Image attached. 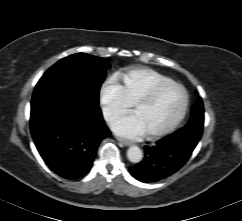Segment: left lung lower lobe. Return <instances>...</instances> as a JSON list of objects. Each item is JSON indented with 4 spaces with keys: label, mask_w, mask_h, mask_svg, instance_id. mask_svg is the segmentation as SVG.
<instances>
[{
    "label": "left lung lower lobe",
    "mask_w": 242,
    "mask_h": 221,
    "mask_svg": "<svg viewBox=\"0 0 242 221\" xmlns=\"http://www.w3.org/2000/svg\"><path fill=\"white\" fill-rule=\"evenodd\" d=\"M202 133L179 130L145 147L144 159L130 167V173L141 182H156L178 171L189 159Z\"/></svg>",
    "instance_id": "left-lung-lower-lobe-1"
}]
</instances>
